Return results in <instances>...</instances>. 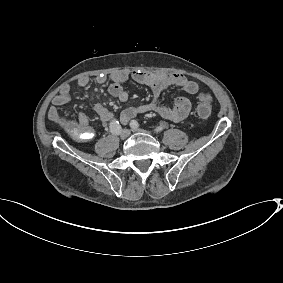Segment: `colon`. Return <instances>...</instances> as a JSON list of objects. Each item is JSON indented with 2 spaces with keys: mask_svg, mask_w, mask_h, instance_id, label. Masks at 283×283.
Returning a JSON list of instances; mask_svg holds the SVG:
<instances>
[{
  "mask_svg": "<svg viewBox=\"0 0 283 283\" xmlns=\"http://www.w3.org/2000/svg\"><path fill=\"white\" fill-rule=\"evenodd\" d=\"M211 96L208 93H201L199 96V104L197 106V114L201 118H207L211 114ZM67 131L73 136L89 140L93 133L90 128L81 126L78 122H65Z\"/></svg>",
  "mask_w": 283,
  "mask_h": 283,
  "instance_id": "obj_1",
  "label": "colon"
}]
</instances>
